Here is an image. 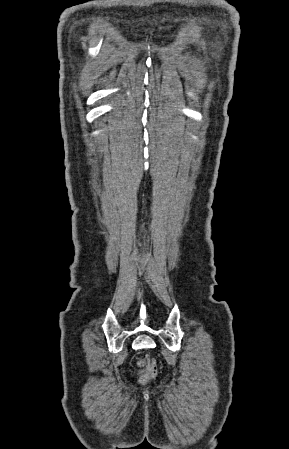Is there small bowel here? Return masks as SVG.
<instances>
[{"label": "small bowel", "mask_w": 289, "mask_h": 449, "mask_svg": "<svg viewBox=\"0 0 289 449\" xmlns=\"http://www.w3.org/2000/svg\"><path fill=\"white\" fill-rule=\"evenodd\" d=\"M137 367H138V369L140 370V372L142 373V371H143V369H144V367H145V365H146V360L145 359H140L138 362H137Z\"/></svg>", "instance_id": "small-bowel-1"}]
</instances>
